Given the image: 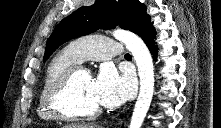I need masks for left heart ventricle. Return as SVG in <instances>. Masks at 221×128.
I'll return each instance as SVG.
<instances>
[{"label": "left heart ventricle", "instance_id": "obj_1", "mask_svg": "<svg viewBox=\"0 0 221 128\" xmlns=\"http://www.w3.org/2000/svg\"><path fill=\"white\" fill-rule=\"evenodd\" d=\"M65 104L73 111H92L100 107L87 71L82 70L76 75Z\"/></svg>", "mask_w": 221, "mask_h": 128}]
</instances>
